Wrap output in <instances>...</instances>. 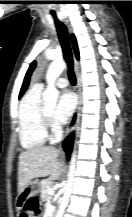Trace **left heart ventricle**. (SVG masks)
Wrapping results in <instances>:
<instances>
[{
	"instance_id": "1",
	"label": "left heart ventricle",
	"mask_w": 132,
	"mask_h": 217,
	"mask_svg": "<svg viewBox=\"0 0 132 217\" xmlns=\"http://www.w3.org/2000/svg\"><path fill=\"white\" fill-rule=\"evenodd\" d=\"M54 106L53 105H47L46 110L51 114L53 112Z\"/></svg>"
}]
</instances>
